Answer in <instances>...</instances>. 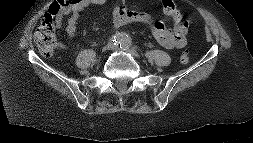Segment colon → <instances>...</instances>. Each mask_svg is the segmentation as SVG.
<instances>
[{
	"mask_svg": "<svg viewBox=\"0 0 253 143\" xmlns=\"http://www.w3.org/2000/svg\"><path fill=\"white\" fill-rule=\"evenodd\" d=\"M70 2H72V0H58L57 2H55L51 7L50 12L45 15L39 27L37 28L34 34V39L42 55L49 57L54 53L57 45V40L55 35V25L53 17L60 10V6H63ZM176 8L177 7H171L173 11H175ZM188 28L189 23L185 19L181 20L177 25V31L183 35L187 33ZM189 60H190L189 53L187 50H184L181 53L180 62L182 64H187Z\"/></svg>",
	"mask_w": 253,
	"mask_h": 143,
	"instance_id": "colon-1",
	"label": "colon"
}]
</instances>
